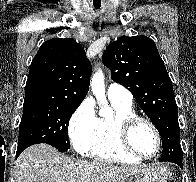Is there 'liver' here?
Segmentation results:
<instances>
[{
	"instance_id": "6515ba94",
	"label": "liver",
	"mask_w": 196,
	"mask_h": 182,
	"mask_svg": "<svg viewBox=\"0 0 196 182\" xmlns=\"http://www.w3.org/2000/svg\"><path fill=\"white\" fill-rule=\"evenodd\" d=\"M140 168L67 157L47 144H36L16 162L17 182H125Z\"/></svg>"
}]
</instances>
